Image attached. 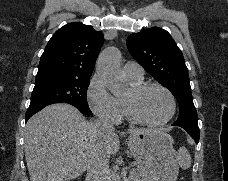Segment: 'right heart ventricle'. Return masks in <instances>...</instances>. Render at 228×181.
<instances>
[{
    "label": "right heart ventricle",
    "instance_id": "right-heart-ventricle-1",
    "mask_svg": "<svg viewBox=\"0 0 228 181\" xmlns=\"http://www.w3.org/2000/svg\"><path fill=\"white\" fill-rule=\"evenodd\" d=\"M124 76H125V78L128 81L127 84H129L131 87L134 86V85H136V84H139V83H142L143 82V76L138 77V78H131V77H128L126 75H124ZM118 100H119V103H120V106H121V109H122V114L124 116H126L128 119H131L130 116H129V114H128L127 107H126V98L121 97Z\"/></svg>",
    "mask_w": 228,
    "mask_h": 181
}]
</instances>
